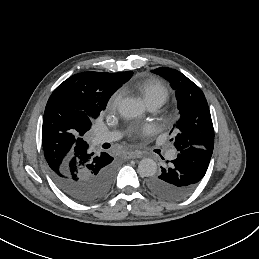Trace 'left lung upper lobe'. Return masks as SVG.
Returning a JSON list of instances; mask_svg holds the SVG:
<instances>
[{"instance_id": "5c2ea615", "label": "left lung upper lobe", "mask_w": 259, "mask_h": 259, "mask_svg": "<svg viewBox=\"0 0 259 259\" xmlns=\"http://www.w3.org/2000/svg\"><path fill=\"white\" fill-rule=\"evenodd\" d=\"M166 78L175 90L180 117L173 141L177 150L191 146L213 150L214 129L207 100L201 89L181 72L167 67L153 70Z\"/></svg>"}]
</instances>
